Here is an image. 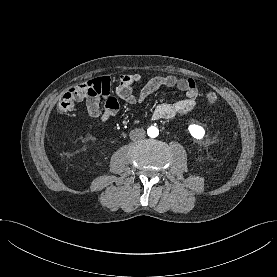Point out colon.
<instances>
[{
	"mask_svg": "<svg viewBox=\"0 0 277 277\" xmlns=\"http://www.w3.org/2000/svg\"><path fill=\"white\" fill-rule=\"evenodd\" d=\"M86 92L85 84L77 85L66 92L57 104V111L62 114L71 113L75 108V102L80 100ZM205 99L208 104L214 105L218 102V94L212 90L207 91Z\"/></svg>",
	"mask_w": 277,
	"mask_h": 277,
	"instance_id": "colon-1",
	"label": "colon"
}]
</instances>
